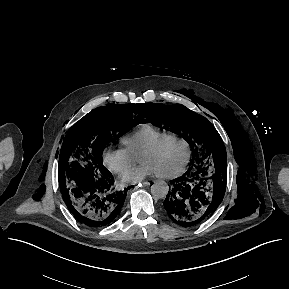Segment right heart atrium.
<instances>
[{
    "label": "right heart atrium",
    "instance_id": "d8ad5b80",
    "mask_svg": "<svg viewBox=\"0 0 289 289\" xmlns=\"http://www.w3.org/2000/svg\"><path fill=\"white\" fill-rule=\"evenodd\" d=\"M102 161L113 173L122 174L134 164L136 156L125 146L110 147L102 152Z\"/></svg>",
    "mask_w": 289,
    "mask_h": 289
}]
</instances>
